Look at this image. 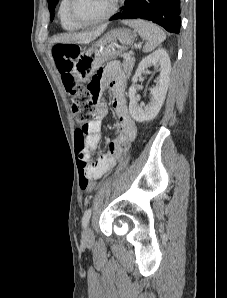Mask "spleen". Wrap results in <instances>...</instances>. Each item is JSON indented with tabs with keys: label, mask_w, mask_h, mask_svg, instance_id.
Returning <instances> with one entry per match:
<instances>
[{
	"label": "spleen",
	"mask_w": 227,
	"mask_h": 298,
	"mask_svg": "<svg viewBox=\"0 0 227 298\" xmlns=\"http://www.w3.org/2000/svg\"><path fill=\"white\" fill-rule=\"evenodd\" d=\"M124 24L133 27L145 41L144 52L154 50L166 39L164 31L157 25L141 19L123 21Z\"/></svg>",
	"instance_id": "1"
}]
</instances>
